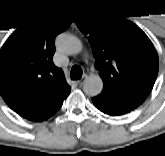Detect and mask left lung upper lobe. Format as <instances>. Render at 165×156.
I'll return each mask as SVG.
<instances>
[{"label": "left lung upper lobe", "instance_id": "1", "mask_svg": "<svg viewBox=\"0 0 165 156\" xmlns=\"http://www.w3.org/2000/svg\"><path fill=\"white\" fill-rule=\"evenodd\" d=\"M77 26L89 35L104 94L134 110L144 102L158 74V55L146 34L132 22L115 16L90 15Z\"/></svg>", "mask_w": 165, "mask_h": 156}]
</instances>
